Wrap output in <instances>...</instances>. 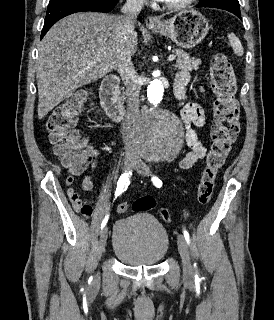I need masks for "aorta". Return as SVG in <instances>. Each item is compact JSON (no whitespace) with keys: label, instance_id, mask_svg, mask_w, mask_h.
Listing matches in <instances>:
<instances>
[{"label":"aorta","instance_id":"762f6f07","mask_svg":"<svg viewBox=\"0 0 274 320\" xmlns=\"http://www.w3.org/2000/svg\"><path fill=\"white\" fill-rule=\"evenodd\" d=\"M149 107L135 123V141L141 154L150 160L171 157L181 144L183 127L180 120L164 107L162 81L153 79L147 88Z\"/></svg>","mask_w":274,"mask_h":320}]
</instances>
